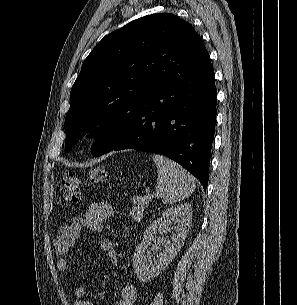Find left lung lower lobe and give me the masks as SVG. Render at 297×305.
<instances>
[{"label": "left lung lower lobe", "instance_id": "1", "mask_svg": "<svg viewBox=\"0 0 297 305\" xmlns=\"http://www.w3.org/2000/svg\"><path fill=\"white\" fill-rule=\"evenodd\" d=\"M214 75L210 64L164 83L141 105L124 134L108 140L100 155L128 148L165 155L206 190L216 122Z\"/></svg>", "mask_w": 297, "mask_h": 305}]
</instances>
